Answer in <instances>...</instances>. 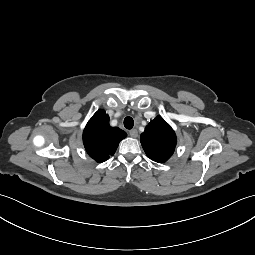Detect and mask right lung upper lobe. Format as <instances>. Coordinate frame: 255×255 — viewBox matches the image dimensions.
Listing matches in <instances>:
<instances>
[{
    "label": "right lung upper lobe",
    "mask_w": 255,
    "mask_h": 255,
    "mask_svg": "<svg viewBox=\"0 0 255 255\" xmlns=\"http://www.w3.org/2000/svg\"><path fill=\"white\" fill-rule=\"evenodd\" d=\"M126 136L120 128L109 125V116L100 109L87 123L83 132V143L91 158L103 162L114 155L119 142Z\"/></svg>",
    "instance_id": "cb5924a9"
}]
</instances>
